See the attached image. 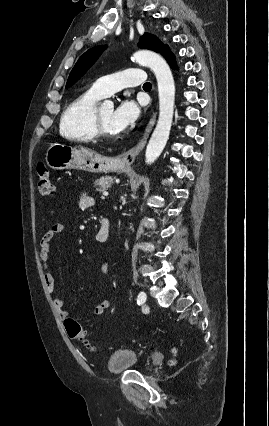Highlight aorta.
<instances>
[{
  "label": "aorta",
  "instance_id": "aorta-1",
  "mask_svg": "<svg viewBox=\"0 0 269 426\" xmlns=\"http://www.w3.org/2000/svg\"><path fill=\"white\" fill-rule=\"evenodd\" d=\"M133 60L149 67L155 74L159 95V118L145 152V162L152 164L162 153L172 126L175 102V84L172 72L165 59L150 50H139Z\"/></svg>",
  "mask_w": 269,
  "mask_h": 426
}]
</instances>
